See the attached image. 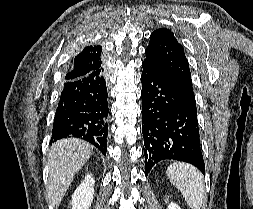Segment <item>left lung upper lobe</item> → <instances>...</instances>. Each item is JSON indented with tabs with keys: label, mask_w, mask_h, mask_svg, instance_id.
<instances>
[{
	"label": "left lung upper lobe",
	"mask_w": 253,
	"mask_h": 209,
	"mask_svg": "<svg viewBox=\"0 0 253 209\" xmlns=\"http://www.w3.org/2000/svg\"><path fill=\"white\" fill-rule=\"evenodd\" d=\"M145 54L144 61L165 71L174 80L191 109L197 113L188 60L174 34L166 28L152 32Z\"/></svg>",
	"instance_id": "left-lung-upper-lobe-1"
}]
</instances>
